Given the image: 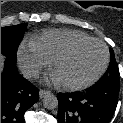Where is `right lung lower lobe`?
<instances>
[{
  "instance_id": "obj_1",
  "label": "right lung lower lobe",
  "mask_w": 123,
  "mask_h": 123,
  "mask_svg": "<svg viewBox=\"0 0 123 123\" xmlns=\"http://www.w3.org/2000/svg\"><path fill=\"white\" fill-rule=\"evenodd\" d=\"M39 100V90L5 61L1 74V123H24L25 112Z\"/></svg>"
}]
</instances>
